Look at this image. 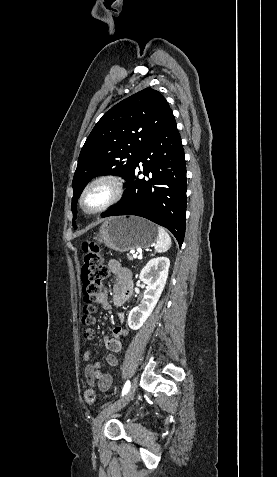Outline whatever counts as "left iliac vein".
<instances>
[{"instance_id":"left-iliac-vein-1","label":"left iliac vein","mask_w":277,"mask_h":477,"mask_svg":"<svg viewBox=\"0 0 277 477\" xmlns=\"http://www.w3.org/2000/svg\"><path fill=\"white\" fill-rule=\"evenodd\" d=\"M137 385H138V378L135 377L131 386H130V388H129V390H128V392L121 399L114 402L113 404L108 405L107 407H105L98 414V416L96 417V419L94 420V423H93V435H94V439L96 441H98V439H99L100 430H101V426H102L103 421L107 417L112 415L113 413L121 410L123 407H125L130 402L131 399H133L134 394H135L136 389H137Z\"/></svg>"}]
</instances>
